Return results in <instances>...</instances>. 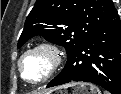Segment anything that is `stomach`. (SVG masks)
<instances>
[{
    "mask_svg": "<svg viewBox=\"0 0 121 94\" xmlns=\"http://www.w3.org/2000/svg\"><path fill=\"white\" fill-rule=\"evenodd\" d=\"M46 94H101L100 90L89 83H70L60 86Z\"/></svg>",
    "mask_w": 121,
    "mask_h": 94,
    "instance_id": "obj_1",
    "label": "stomach"
}]
</instances>
